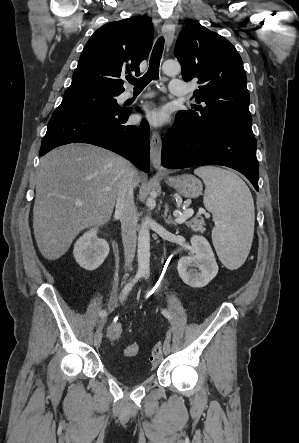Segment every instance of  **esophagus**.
I'll list each match as a JSON object with an SVG mask.
<instances>
[{
	"label": "esophagus",
	"mask_w": 299,
	"mask_h": 443,
	"mask_svg": "<svg viewBox=\"0 0 299 443\" xmlns=\"http://www.w3.org/2000/svg\"><path fill=\"white\" fill-rule=\"evenodd\" d=\"M175 33V26L170 20H167L162 26V34L165 37L167 47L171 46ZM162 140L157 131H154L150 139V158L153 167L162 170L161 166Z\"/></svg>",
	"instance_id": "obj_1"
}]
</instances>
